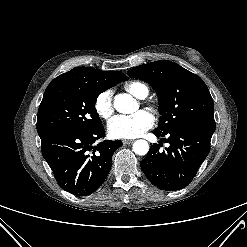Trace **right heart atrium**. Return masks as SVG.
I'll return each mask as SVG.
<instances>
[{"mask_svg": "<svg viewBox=\"0 0 247 247\" xmlns=\"http://www.w3.org/2000/svg\"><path fill=\"white\" fill-rule=\"evenodd\" d=\"M94 109L102 119H109L113 112V92L111 89L101 91L94 100Z\"/></svg>", "mask_w": 247, "mask_h": 247, "instance_id": "right-heart-atrium-1", "label": "right heart atrium"}]
</instances>
